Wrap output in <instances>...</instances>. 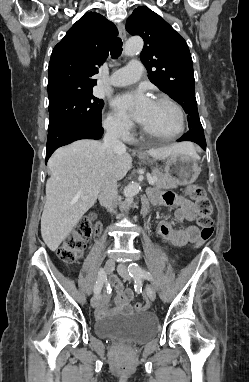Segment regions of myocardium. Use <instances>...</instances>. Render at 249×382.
I'll return each mask as SVG.
<instances>
[{
  "instance_id": "f54148a6",
  "label": "myocardium",
  "mask_w": 249,
  "mask_h": 382,
  "mask_svg": "<svg viewBox=\"0 0 249 382\" xmlns=\"http://www.w3.org/2000/svg\"><path fill=\"white\" fill-rule=\"evenodd\" d=\"M154 101L167 103L176 111L177 116H178V130L176 133H174L173 135H170V136H159V135H155V134L151 133L146 128L141 126V130L144 133V135H146L147 137H150L152 139H155L158 141H164V142L173 141V140L179 138L185 130V114H184V111L181 108V106L175 100H173L172 98L165 96V95L157 96L154 99Z\"/></svg>"
}]
</instances>
